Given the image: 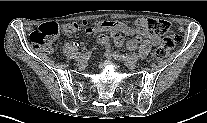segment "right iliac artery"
I'll return each mask as SVG.
<instances>
[{"mask_svg": "<svg viewBox=\"0 0 207 123\" xmlns=\"http://www.w3.org/2000/svg\"><path fill=\"white\" fill-rule=\"evenodd\" d=\"M92 52L91 51H88L86 53H83V54H79L78 57H77V61H80V60H87L89 59V57L91 56Z\"/></svg>", "mask_w": 207, "mask_h": 123, "instance_id": "obj_1", "label": "right iliac artery"}]
</instances>
